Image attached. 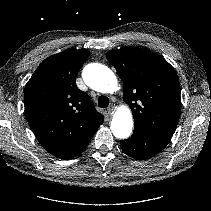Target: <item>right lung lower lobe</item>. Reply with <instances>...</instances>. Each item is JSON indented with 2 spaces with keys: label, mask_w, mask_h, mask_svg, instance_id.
Instances as JSON below:
<instances>
[{
  "label": "right lung lower lobe",
  "mask_w": 211,
  "mask_h": 211,
  "mask_svg": "<svg viewBox=\"0 0 211 211\" xmlns=\"http://www.w3.org/2000/svg\"><path fill=\"white\" fill-rule=\"evenodd\" d=\"M88 144L89 143H87L86 145L82 146L79 150H77L75 153L71 154L70 156H68L65 159H70V158H73V157L79 155L81 152H83L86 149V147L88 146Z\"/></svg>",
  "instance_id": "1"
}]
</instances>
